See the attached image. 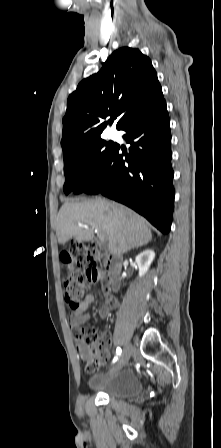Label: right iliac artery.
Returning <instances> with one entry per match:
<instances>
[{
	"mask_svg": "<svg viewBox=\"0 0 221 448\" xmlns=\"http://www.w3.org/2000/svg\"><path fill=\"white\" fill-rule=\"evenodd\" d=\"M121 352H122L121 348L118 347V348L116 349V356H115V358H114V360H113L114 362L117 361V360L119 359V357H120V355H121Z\"/></svg>",
	"mask_w": 221,
	"mask_h": 448,
	"instance_id": "right-iliac-artery-1",
	"label": "right iliac artery"
}]
</instances>
